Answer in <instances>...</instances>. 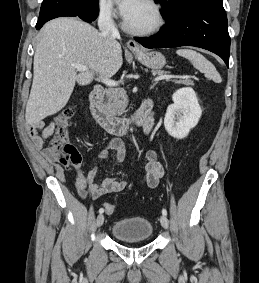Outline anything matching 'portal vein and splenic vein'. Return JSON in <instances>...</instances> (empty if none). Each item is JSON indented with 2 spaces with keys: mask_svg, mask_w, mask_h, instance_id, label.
Returning a JSON list of instances; mask_svg holds the SVG:
<instances>
[{
  "mask_svg": "<svg viewBox=\"0 0 259 283\" xmlns=\"http://www.w3.org/2000/svg\"><path fill=\"white\" fill-rule=\"evenodd\" d=\"M71 66L73 68H75L77 71H87L88 70L87 66L81 65V64H72ZM172 77H173L172 75L164 74V75H160V76L154 78L153 80L154 81H160V80H163V79H170ZM101 81L107 86H117L118 85L117 82L110 80V79H107V78L101 77Z\"/></svg>",
  "mask_w": 259,
  "mask_h": 283,
  "instance_id": "obj_1",
  "label": "portal vein and splenic vein"
}]
</instances>
